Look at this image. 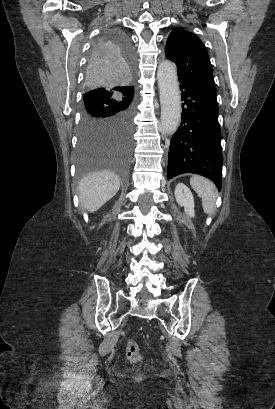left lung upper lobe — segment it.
<instances>
[{"instance_id":"5c2ea615","label":"left lung upper lobe","mask_w":275,"mask_h":409,"mask_svg":"<svg viewBox=\"0 0 275 409\" xmlns=\"http://www.w3.org/2000/svg\"><path fill=\"white\" fill-rule=\"evenodd\" d=\"M165 56L176 64L179 80L192 81L217 92L207 50L195 34L173 29L166 43Z\"/></svg>"}]
</instances>
